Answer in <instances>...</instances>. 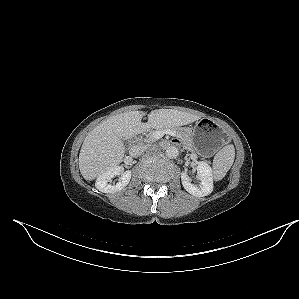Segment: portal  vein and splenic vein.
<instances>
[{
    "instance_id": "portal-vein-and-splenic-vein-1",
    "label": "portal vein and splenic vein",
    "mask_w": 299,
    "mask_h": 299,
    "mask_svg": "<svg viewBox=\"0 0 299 299\" xmlns=\"http://www.w3.org/2000/svg\"><path fill=\"white\" fill-rule=\"evenodd\" d=\"M165 134H168L170 136H175L176 135L175 131H172L170 129H165V130L154 131L152 133V138L154 140H158V139L162 138Z\"/></svg>"
}]
</instances>
